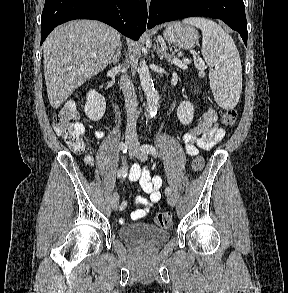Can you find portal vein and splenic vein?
<instances>
[{
    "instance_id": "1",
    "label": "portal vein and splenic vein",
    "mask_w": 288,
    "mask_h": 293,
    "mask_svg": "<svg viewBox=\"0 0 288 293\" xmlns=\"http://www.w3.org/2000/svg\"><path fill=\"white\" fill-rule=\"evenodd\" d=\"M96 55L93 54L92 57H95ZM172 62L177 65L178 67L182 68V69H187V64L190 63V60L188 59H183V60H180L178 58H173L172 59ZM199 67L203 68L204 67V62L200 60V63H199Z\"/></svg>"
}]
</instances>
